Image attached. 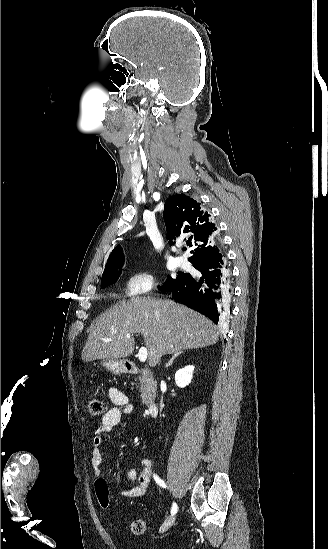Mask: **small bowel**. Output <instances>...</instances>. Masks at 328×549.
Wrapping results in <instances>:
<instances>
[{"mask_svg": "<svg viewBox=\"0 0 328 549\" xmlns=\"http://www.w3.org/2000/svg\"><path fill=\"white\" fill-rule=\"evenodd\" d=\"M108 394L114 406L105 413L101 424L95 430L92 438L91 465L96 476L101 475L100 466L103 459L101 445L103 443L104 436L112 433L113 429L121 422V420L125 416L131 414L134 410L133 405L129 402L128 397L123 391L112 387L109 389ZM140 464L142 466V470L138 478L136 471L131 468L128 469L121 477L115 479L117 484L124 482H135L130 489L122 492V494L128 497H144L150 487L152 477H154L151 460L141 458Z\"/></svg>", "mask_w": 328, "mask_h": 549, "instance_id": "small-bowel-1", "label": "small bowel"}]
</instances>
